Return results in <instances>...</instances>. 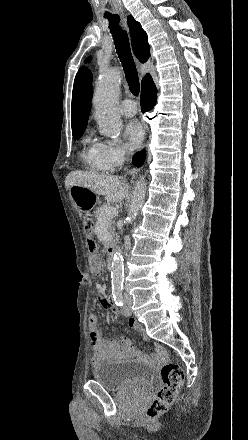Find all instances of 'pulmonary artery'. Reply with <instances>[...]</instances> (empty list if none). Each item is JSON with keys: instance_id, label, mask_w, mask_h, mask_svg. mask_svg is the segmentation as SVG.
<instances>
[{"instance_id": "e3ab8cb5", "label": "pulmonary artery", "mask_w": 248, "mask_h": 440, "mask_svg": "<svg viewBox=\"0 0 248 440\" xmlns=\"http://www.w3.org/2000/svg\"><path fill=\"white\" fill-rule=\"evenodd\" d=\"M121 112L128 117L134 116L137 112L136 103L132 99H125L121 104Z\"/></svg>"}]
</instances>
